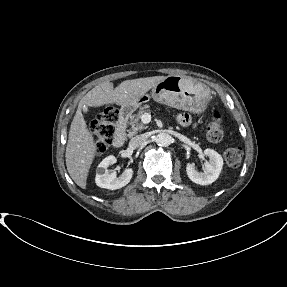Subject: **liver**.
Masks as SVG:
<instances>
[{
	"mask_svg": "<svg viewBox=\"0 0 287 287\" xmlns=\"http://www.w3.org/2000/svg\"><path fill=\"white\" fill-rule=\"evenodd\" d=\"M166 76H154L125 80L116 88L104 82L91 89L79 102L70 126L66 146V166L70 177L82 189H86L87 177L95 158L97 145L82 115L83 106L100 107L106 104H135Z\"/></svg>",
	"mask_w": 287,
	"mask_h": 287,
	"instance_id": "6515ba94",
	"label": "liver"
}]
</instances>
